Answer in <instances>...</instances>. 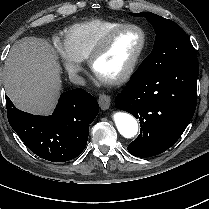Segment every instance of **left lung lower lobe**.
<instances>
[{
  "label": "left lung lower lobe",
  "instance_id": "obj_1",
  "mask_svg": "<svg viewBox=\"0 0 209 209\" xmlns=\"http://www.w3.org/2000/svg\"><path fill=\"white\" fill-rule=\"evenodd\" d=\"M198 59L158 73L138 69L116 96L118 109L140 120V135L129 144L136 157L158 155L180 138L196 109Z\"/></svg>",
  "mask_w": 209,
  "mask_h": 209
}]
</instances>
